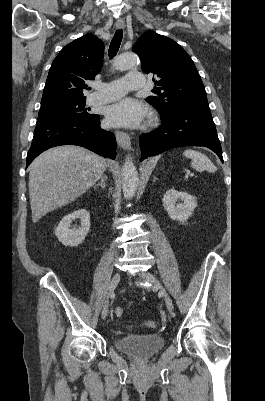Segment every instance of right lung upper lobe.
I'll list each match as a JSON object with an SVG mask.
<instances>
[{"label":"right lung upper lobe","mask_w":265,"mask_h":401,"mask_svg":"<svg viewBox=\"0 0 265 401\" xmlns=\"http://www.w3.org/2000/svg\"><path fill=\"white\" fill-rule=\"evenodd\" d=\"M104 44L86 34L66 45L54 59L46 80L41 104L85 98V80H93L103 64Z\"/></svg>","instance_id":"cb5924a9"}]
</instances>
